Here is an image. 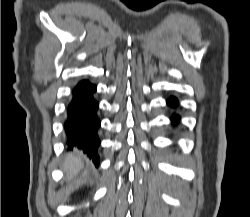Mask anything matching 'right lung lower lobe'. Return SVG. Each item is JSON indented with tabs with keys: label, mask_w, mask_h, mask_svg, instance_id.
I'll list each match as a JSON object with an SVG mask.
<instances>
[{
	"label": "right lung lower lobe",
	"mask_w": 250,
	"mask_h": 217,
	"mask_svg": "<svg viewBox=\"0 0 250 217\" xmlns=\"http://www.w3.org/2000/svg\"><path fill=\"white\" fill-rule=\"evenodd\" d=\"M96 86L89 81H81L73 89V97L67 107V117L64 122V130L67 144L83 150L95 166H99L98 129L101 125L97 117L98 102L93 94Z\"/></svg>",
	"instance_id": "1"
}]
</instances>
